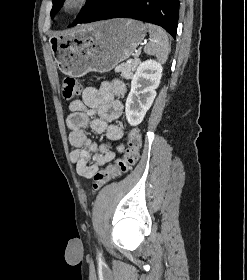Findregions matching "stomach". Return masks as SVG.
Listing matches in <instances>:
<instances>
[{
	"label": "stomach",
	"mask_w": 247,
	"mask_h": 280,
	"mask_svg": "<svg viewBox=\"0 0 247 280\" xmlns=\"http://www.w3.org/2000/svg\"><path fill=\"white\" fill-rule=\"evenodd\" d=\"M145 35L141 21L121 18L51 37L49 45L59 69L66 75L81 77L90 71L112 70L133 54Z\"/></svg>",
	"instance_id": "obj_1"
}]
</instances>
